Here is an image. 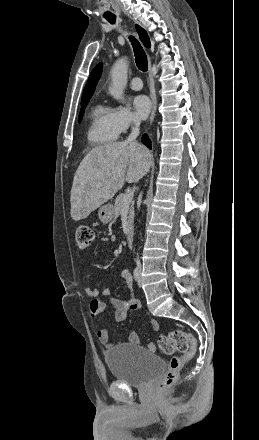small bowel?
<instances>
[{"label":"small bowel","instance_id":"1","mask_svg":"<svg viewBox=\"0 0 259 440\" xmlns=\"http://www.w3.org/2000/svg\"><path fill=\"white\" fill-rule=\"evenodd\" d=\"M115 240V235L102 238V241L105 242H113ZM121 277L126 285L128 300L112 298L111 290L108 288H85L86 295L92 298V301L89 305V313L92 317H97L98 315L103 313L106 308L111 307L114 310V320L117 322H121L127 318L129 312L142 309V304L140 300H138L135 296L133 278L131 273L127 269H124L121 272ZM98 297H102L103 300H98ZM149 323L154 330H158L160 327L159 323L153 319H150ZM97 337L101 344H103L105 347H111L113 345L110 332L107 329L99 330L97 332ZM126 342L131 345H138L140 343L139 335L135 331H131L128 335ZM148 348L154 351L155 345L149 342Z\"/></svg>","mask_w":259,"mask_h":440}]
</instances>
